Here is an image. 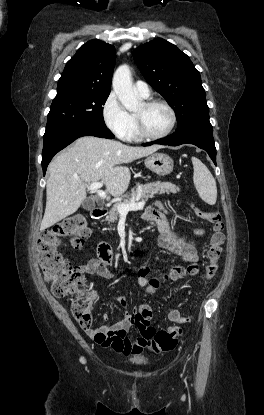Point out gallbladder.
Listing matches in <instances>:
<instances>
[{
    "instance_id": "obj_1",
    "label": "gallbladder",
    "mask_w": 264,
    "mask_h": 415,
    "mask_svg": "<svg viewBox=\"0 0 264 415\" xmlns=\"http://www.w3.org/2000/svg\"><path fill=\"white\" fill-rule=\"evenodd\" d=\"M95 207V202L91 198H86L83 201V208L87 210H91Z\"/></svg>"
}]
</instances>
